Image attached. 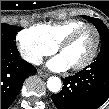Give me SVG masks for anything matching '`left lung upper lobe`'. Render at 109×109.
Returning a JSON list of instances; mask_svg holds the SVG:
<instances>
[{
  "instance_id": "1",
  "label": "left lung upper lobe",
  "mask_w": 109,
  "mask_h": 109,
  "mask_svg": "<svg viewBox=\"0 0 109 109\" xmlns=\"http://www.w3.org/2000/svg\"><path fill=\"white\" fill-rule=\"evenodd\" d=\"M82 17L86 18L88 21L94 24L97 30L99 31L100 38H101V49L108 48L109 47V30L105 26V24L100 19H97V18H92L85 15H82Z\"/></svg>"
}]
</instances>
